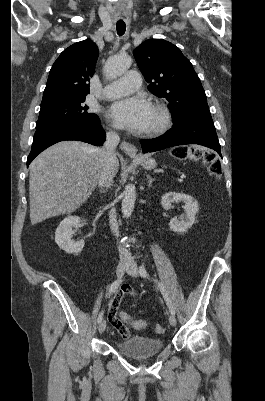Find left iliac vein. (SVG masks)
Returning a JSON list of instances; mask_svg holds the SVG:
<instances>
[{"label": "left iliac vein", "mask_w": 265, "mask_h": 401, "mask_svg": "<svg viewBox=\"0 0 265 401\" xmlns=\"http://www.w3.org/2000/svg\"><path fill=\"white\" fill-rule=\"evenodd\" d=\"M127 272L134 277H138L139 270H138L137 264L135 262L129 263V268H128ZM169 323L171 326H176L177 319L174 314H170Z\"/></svg>", "instance_id": "1"}]
</instances>
